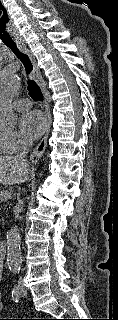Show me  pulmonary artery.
<instances>
[{
	"label": "pulmonary artery",
	"instance_id": "pulmonary-artery-1",
	"mask_svg": "<svg viewBox=\"0 0 118 320\" xmlns=\"http://www.w3.org/2000/svg\"><path fill=\"white\" fill-rule=\"evenodd\" d=\"M31 106V103L28 99H19L14 102V108L17 111H25Z\"/></svg>",
	"mask_w": 118,
	"mask_h": 320
}]
</instances>
